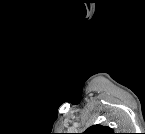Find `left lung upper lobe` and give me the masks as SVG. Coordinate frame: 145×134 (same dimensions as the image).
Here are the masks:
<instances>
[{
  "label": "left lung upper lobe",
  "instance_id": "left-lung-upper-lobe-1",
  "mask_svg": "<svg viewBox=\"0 0 145 134\" xmlns=\"http://www.w3.org/2000/svg\"><path fill=\"white\" fill-rule=\"evenodd\" d=\"M83 134H114L110 127L102 125H93L89 127Z\"/></svg>",
  "mask_w": 145,
  "mask_h": 134
}]
</instances>
